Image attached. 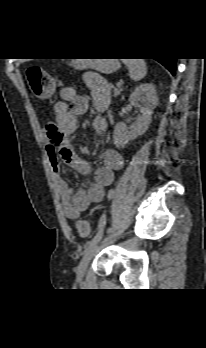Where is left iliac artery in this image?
<instances>
[{
  "label": "left iliac artery",
  "mask_w": 206,
  "mask_h": 348,
  "mask_svg": "<svg viewBox=\"0 0 206 348\" xmlns=\"http://www.w3.org/2000/svg\"><path fill=\"white\" fill-rule=\"evenodd\" d=\"M115 193H116V190H114L113 188L109 189V197L110 198L115 197ZM106 220H107V217L105 215H102L101 219H100L99 230L96 233V235L93 237V239L87 243V245H90L91 243L97 242L101 239V237L103 235L104 224L106 223Z\"/></svg>",
  "instance_id": "obj_1"
}]
</instances>
